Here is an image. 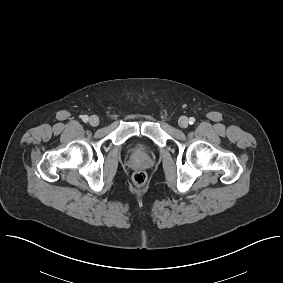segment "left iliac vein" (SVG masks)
Returning <instances> with one entry per match:
<instances>
[{
  "label": "left iliac vein",
  "mask_w": 283,
  "mask_h": 283,
  "mask_svg": "<svg viewBox=\"0 0 283 283\" xmlns=\"http://www.w3.org/2000/svg\"><path fill=\"white\" fill-rule=\"evenodd\" d=\"M178 124L181 128H186L189 125V120L187 117L182 116L179 120H178Z\"/></svg>",
  "instance_id": "4c4485c4"
}]
</instances>
